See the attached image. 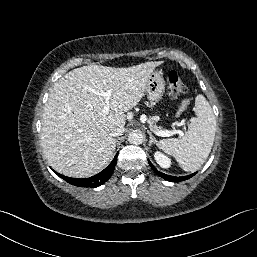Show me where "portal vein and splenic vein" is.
<instances>
[{"mask_svg": "<svg viewBox=\"0 0 257 257\" xmlns=\"http://www.w3.org/2000/svg\"><path fill=\"white\" fill-rule=\"evenodd\" d=\"M97 94L102 96L105 99V101H106V104H105V106L102 109V114L103 115H107L109 113V111H110L109 99L111 98V90L101 91V92H98ZM141 120L143 122L146 121L147 120L146 116L142 115L141 116ZM154 133L156 135L162 136V137H169V136H172L174 134H182V132L178 131V130H172V131L161 130V131H154Z\"/></svg>", "mask_w": 257, "mask_h": 257, "instance_id": "18ae733b", "label": "portal vein and splenic vein"}]
</instances>
